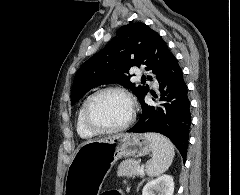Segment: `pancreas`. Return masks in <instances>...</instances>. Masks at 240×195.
I'll return each mask as SVG.
<instances>
[{"mask_svg": "<svg viewBox=\"0 0 240 195\" xmlns=\"http://www.w3.org/2000/svg\"><path fill=\"white\" fill-rule=\"evenodd\" d=\"M140 159H124L121 161L120 165H118L117 175H140L143 177L144 173H139L138 169H140Z\"/></svg>", "mask_w": 240, "mask_h": 195, "instance_id": "1", "label": "pancreas"}]
</instances>
